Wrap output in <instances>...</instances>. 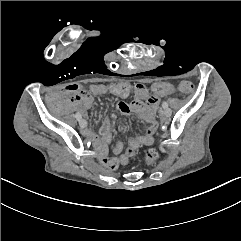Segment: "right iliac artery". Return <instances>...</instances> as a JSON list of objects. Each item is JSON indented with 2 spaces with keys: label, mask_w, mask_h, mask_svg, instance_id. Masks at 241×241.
<instances>
[{
  "label": "right iliac artery",
  "mask_w": 241,
  "mask_h": 241,
  "mask_svg": "<svg viewBox=\"0 0 241 241\" xmlns=\"http://www.w3.org/2000/svg\"><path fill=\"white\" fill-rule=\"evenodd\" d=\"M75 117H76L77 120H80L82 118L80 113H76Z\"/></svg>",
  "instance_id": "obj_1"
}]
</instances>
